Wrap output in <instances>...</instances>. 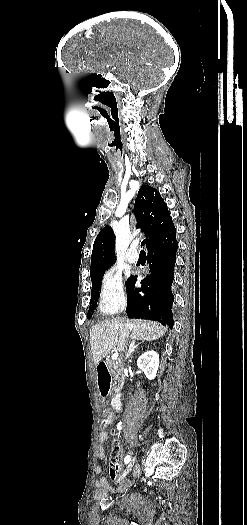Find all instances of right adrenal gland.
<instances>
[{"label":"right adrenal gland","mask_w":247,"mask_h":525,"mask_svg":"<svg viewBox=\"0 0 247 525\" xmlns=\"http://www.w3.org/2000/svg\"><path fill=\"white\" fill-rule=\"evenodd\" d=\"M140 345H142V343H137V339H132L130 345H129V351H127V355L129 357V355H131V353H134V351H136V349H138V347H140Z\"/></svg>","instance_id":"obj_1"}]
</instances>
